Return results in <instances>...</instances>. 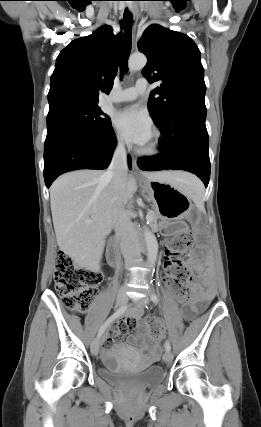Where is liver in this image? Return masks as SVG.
<instances>
[{
    "label": "liver",
    "instance_id": "1",
    "mask_svg": "<svg viewBox=\"0 0 261 427\" xmlns=\"http://www.w3.org/2000/svg\"><path fill=\"white\" fill-rule=\"evenodd\" d=\"M148 181L168 183L186 192L191 175L178 171L143 172ZM137 191L127 175L117 191L102 170H77L59 177L50 189V205L57 244L85 267L99 263L106 237L112 231L116 210L125 207Z\"/></svg>",
    "mask_w": 261,
    "mask_h": 427
}]
</instances>
